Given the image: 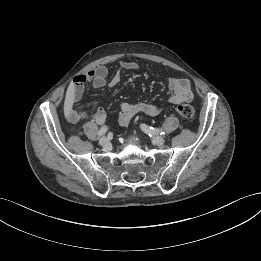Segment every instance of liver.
I'll return each instance as SVG.
<instances>
[{"label": "liver", "instance_id": "6515ba94", "mask_svg": "<svg viewBox=\"0 0 261 261\" xmlns=\"http://www.w3.org/2000/svg\"><path fill=\"white\" fill-rule=\"evenodd\" d=\"M75 101V85L70 83L68 86L65 102H64V112L69 115L72 112V107Z\"/></svg>", "mask_w": 261, "mask_h": 261}]
</instances>
